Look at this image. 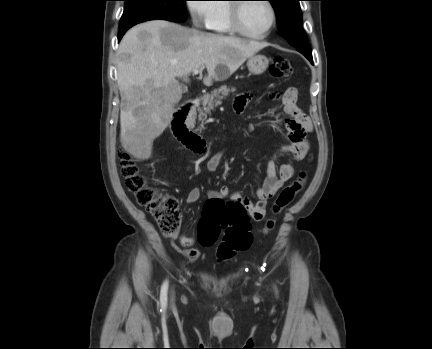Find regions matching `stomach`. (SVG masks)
Masks as SVG:
<instances>
[{
	"instance_id": "stomach-1",
	"label": "stomach",
	"mask_w": 432,
	"mask_h": 349,
	"mask_svg": "<svg viewBox=\"0 0 432 349\" xmlns=\"http://www.w3.org/2000/svg\"><path fill=\"white\" fill-rule=\"evenodd\" d=\"M269 59L265 55L254 54L248 58L247 67L250 73L259 75L266 71Z\"/></svg>"
}]
</instances>
